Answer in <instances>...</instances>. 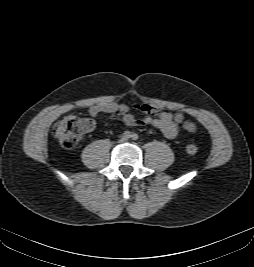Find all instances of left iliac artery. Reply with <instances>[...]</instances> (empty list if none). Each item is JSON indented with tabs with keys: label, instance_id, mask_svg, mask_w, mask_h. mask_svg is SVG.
<instances>
[{
	"label": "left iliac artery",
	"instance_id": "left-iliac-artery-1",
	"mask_svg": "<svg viewBox=\"0 0 254 267\" xmlns=\"http://www.w3.org/2000/svg\"><path fill=\"white\" fill-rule=\"evenodd\" d=\"M132 139H133V140H137V139H138V135H137L136 133H134V134L132 135Z\"/></svg>",
	"mask_w": 254,
	"mask_h": 267
}]
</instances>
